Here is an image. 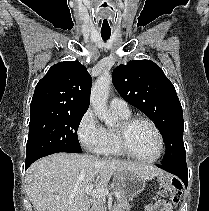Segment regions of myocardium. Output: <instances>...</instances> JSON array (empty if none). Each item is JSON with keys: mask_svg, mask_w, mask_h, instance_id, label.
<instances>
[{"mask_svg": "<svg viewBox=\"0 0 209 211\" xmlns=\"http://www.w3.org/2000/svg\"><path fill=\"white\" fill-rule=\"evenodd\" d=\"M138 123H146L150 125L157 135L158 142H159V149L156 156H154L153 158H150V159L140 158L137 155H135L129 147V134L131 130L133 129V127ZM117 138H118V144L122 153L125 156L139 163H143V164L155 163L161 158L164 152L165 143H164L163 134L161 130L159 129V127L157 126V124L153 120L147 117L135 116V117H130L128 119L123 120L121 124L119 125V127L117 128Z\"/></svg>", "mask_w": 209, "mask_h": 211, "instance_id": "obj_1", "label": "myocardium"}]
</instances>
